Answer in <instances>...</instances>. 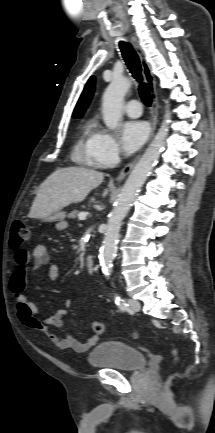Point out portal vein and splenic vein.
Here are the masks:
<instances>
[{
	"mask_svg": "<svg viewBox=\"0 0 215 433\" xmlns=\"http://www.w3.org/2000/svg\"><path fill=\"white\" fill-rule=\"evenodd\" d=\"M87 217V213L86 212H82L78 215L79 220H85Z\"/></svg>",
	"mask_w": 215,
	"mask_h": 433,
	"instance_id": "obj_1",
	"label": "portal vein and splenic vein"
}]
</instances>
